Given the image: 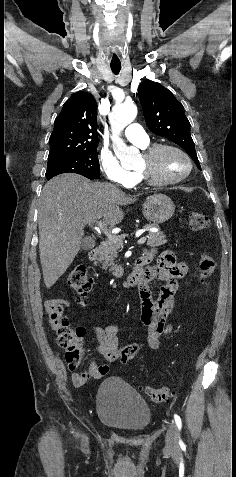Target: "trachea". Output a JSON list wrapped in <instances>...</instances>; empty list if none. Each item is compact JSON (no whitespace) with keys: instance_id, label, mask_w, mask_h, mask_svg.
<instances>
[{"instance_id":"3493384b","label":"trachea","mask_w":236,"mask_h":477,"mask_svg":"<svg viewBox=\"0 0 236 477\" xmlns=\"http://www.w3.org/2000/svg\"><path fill=\"white\" fill-rule=\"evenodd\" d=\"M111 67V70L114 74H119L120 70H121V64L120 63H111L110 65Z\"/></svg>"}]
</instances>
